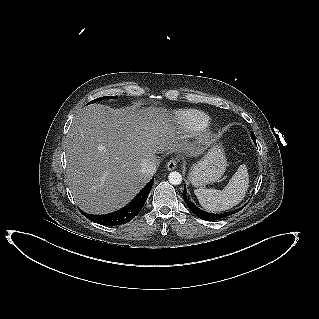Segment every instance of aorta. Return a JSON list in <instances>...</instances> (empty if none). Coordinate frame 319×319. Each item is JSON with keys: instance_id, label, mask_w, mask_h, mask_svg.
<instances>
[{"instance_id": "aorta-1", "label": "aorta", "mask_w": 319, "mask_h": 319, "mask_svg": "<svg viewBox=\"0 0 319 319\" xmlns=\"http://www.w3.org/2000/svg\"><path fill=\"white\" fill-rule=\"evenodd\" d=\"M169 182L173 185H179L182 182V176L179 172L173 171L168 175Z\"/></svg>"}]
</instances>
